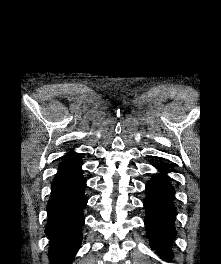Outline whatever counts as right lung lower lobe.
<instances>
[{
  "mask_svg": "<svg viewBox=\"0 0 221 264\" xmlns=\"http://www.w3.org/2000/svg\"><path fill=\"white\" fill-rule=\"evenodd\" d=\"M82 160L76 154L66 156L59 164L51 185L47 204L48 221L45 233L50 238L51 264H70L81 245L84 224L83 207L86 180L81 170Z\"/></svg>",
  "mask_w": 221,
  "mask_h": 264,
  "instance_id": "98d812e1",
  "label": "right lung lower lobe"
}]
</instances>
